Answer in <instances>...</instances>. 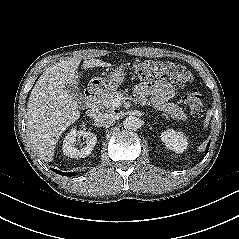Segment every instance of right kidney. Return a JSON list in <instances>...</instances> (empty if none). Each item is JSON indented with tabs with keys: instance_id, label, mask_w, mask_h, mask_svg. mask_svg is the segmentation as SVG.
Wrapping results in <instances>:
<instances>
[{
	"instance_id": "right-kidney-1",
	"label": "right kidney",
	"mask_w": 239,
	"mask_h": 239,
	"mask_svg": "<svg viewBox=\"0 0 239 239\" xmlns=\"http://www.w3.org/2000/svg\"><path fill=\"white\" fill-rule=\"evenodd\" d=\"M82 136L86 139V146L78 149L75 147L76 137ZM97 143V137L94 133L88 131H77L71 129L64 138L63 141V153L71 158H84L91 153L94 146Z\"/></svg>"
}]
</instances>
